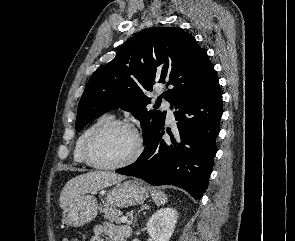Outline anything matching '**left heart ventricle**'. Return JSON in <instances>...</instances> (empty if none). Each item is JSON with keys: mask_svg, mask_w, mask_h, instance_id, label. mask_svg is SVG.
I'll return each instance as SVG.
<instances>
[{"mask_svg": "<svg viewBox=\"0 0 295 241\" xmlns=\"http://www.w3.org/2000/svg\"><path fill=\"white\" fill-rule=\"evenodd\" d=\"M136 149L134 134L121 127L104 133L95 143L94 157L102 163L116 164L127 160Z\"/></svg>", "mask_w": 295, "mask_h": 241, "instance_id": "b2bd125f", "label": "left heart ventricle"}]
</instances>
